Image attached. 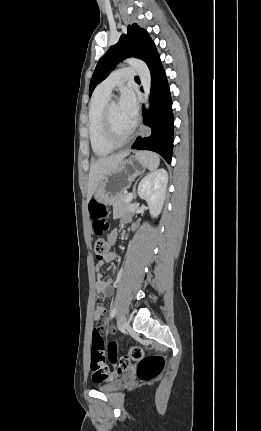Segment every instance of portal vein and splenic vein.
<instances>
[{"label": "portal vein and splenic vein", "mask_w": 261, "mask_h": 431, "mask_svg": "<svg viewBox=\"0 0 261 431\" xmlns=\"http://www.w3.org/2000/svg\"><path fill=\"white\" fill-rule=\"evenodd\" d=\"M132 199H133V194H132V193H130V194H128V195H127V197H126L125 201H126V202H130Z\"/></svg>", "instance_id": "18ae733b"}]
</instances>
